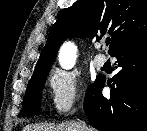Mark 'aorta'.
<instances>
[{"mask_svg":"<svg viewBox=\"0 0 147 131\" xmlns=\"http://www.w3.org/2000/svg\"><path fill=\"white\" fill-rule=\"evenodd\" d=\"M76 60V47L73 43H65L59 52V62L63 69H71Z\"/></svg>","mask_w":147,"mask_h":131,"instance_id":"obj_1","label":"aorta"}]
</instances>
